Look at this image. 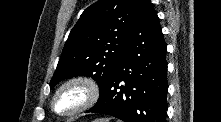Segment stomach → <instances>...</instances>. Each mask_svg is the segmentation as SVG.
<instances>
[{
	"mask_svg": "<svg viewBox=\"0 0 221 122\" xmlns=\"http://www.w3.org/2000/svg\"><path fill=\"white\" fill-rule=\"evenodd\" d=\"M108 119H97L94 122H108Z\"/></svg>",
	"mask_w": 221,
	"mask_h": 122,
	"instance_id": "obj_1",
	"label": "stomach"
}]
</instances>
